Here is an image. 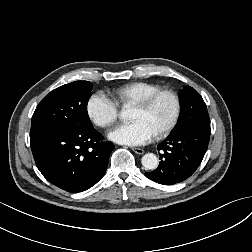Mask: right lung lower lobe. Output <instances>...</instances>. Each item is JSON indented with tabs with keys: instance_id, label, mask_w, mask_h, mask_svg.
Wrapping results in <instances>:
<instances>
[{
	"instance_id": "right-lung-lower-lobe-1",
	"label": "right lung lower lobe",
	"mask_w": 252,
	"mask_h": 252,
	"mask_svg": "<svg viewBox=\"0 0 252 252\" xmlns=\"http://www.w3.org/2000/svg\"><path fill=\"white\" fill-rule=\"evenodd\" d=\"M93 127L39 129L30 132L31 150L42 175L55 186L82 192L104 175L112 150L111 142Z\"/></svg>"
}]
</instances>
